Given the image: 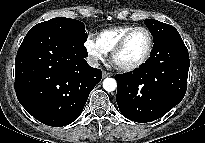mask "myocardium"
I'll list each match as a JSON object with an SVG mask.
<instances>
[{
  "label": "myocardium",
  "instance_id": "myocardium-1",
  "mask_svg": "<svg viewBox=\"0 0 205 143\" xmlns=\"http://www.w3.org/2000/svg\"><path fill=\"white\" fill-rule=\"evenodd\" d=\"M138 30H143L146 32V34L148 35V48L146 50V53L144 54V56L141 58L140 61H138L135 64L132 65H128V66H120L118 64H116L115 62V58L116 56L124 49L129 37ZM153 35L151 33V31L144 26H135L133 28H131L130 30H128L122 37L121 39L118 41V43L115 45V47L113 48V50L111 51V55H110V59H111V63L113 64V66L122 71V72H132L135 70H138L139 68H141L142 66H144L146 64V62L149 60L152 51H153Z\"/></svg>",
  "mask_w": 205,
  "mask_h": 143
}]
</instances>
